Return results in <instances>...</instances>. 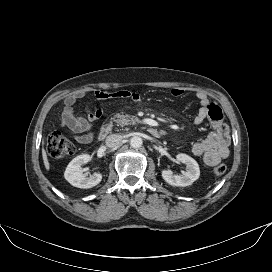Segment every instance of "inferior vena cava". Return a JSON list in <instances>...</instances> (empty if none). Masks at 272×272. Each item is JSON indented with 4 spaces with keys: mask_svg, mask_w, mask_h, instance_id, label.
Masks as SVG:
<instances>
[{
    "mask_svg": "<svg viewBox=\"0 0 272 272\" xmlns=\"http://www.w3.org/2000/svg\"><path fill=\"white\" fill-rule=\"evenodd\" d=\"M122 140V136L118 135V134H111L106 138V146L112 148L117 146Z\"/></svg>",
    "mask_w": 272,
    "mask_h": 272,
    "instance_id": "1",
    "label": "inferior vena cava"
}]
</instances>
